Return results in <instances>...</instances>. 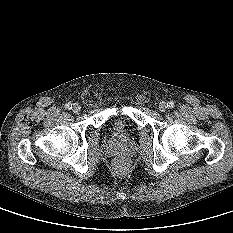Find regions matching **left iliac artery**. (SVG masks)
Masks as SVG:
<instances>
[{
	"label": "left iliac artery",
	"mask_w": 233,
	"mask_h": 233,
	"mask_svg": "<svg viewBox=\"0 0 233 233\" xmlns=\"http://www.w3.org/2000/svg\"><path fill=\"white\" fill-rule=\"evenodd\" d=\"M167 107H168V108H173V107H174V102H173V101H169V102L167 103Z\"/></svg>",
	"instance_id": "44dca946"
}]
</instances>
